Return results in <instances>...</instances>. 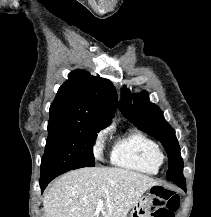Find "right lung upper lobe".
I'll use <instances>...</instances> for the list:
<instances>
[{"label":"right lung upper lobe","mask_w":211,"mask_h":217,"mask_svg":"<svg viewBox=\"0 0 211 217\" xmlns=\"http://www.w3.org/2000/svg\"><path fill=\"white\" fill-rule=\"evenodd\" d=\"M116 108V90L109 80L75 70L59 88L50 106L49 121L97 123L107 127Z\"/></svg>","instance_id":"1"}]
</instances>
